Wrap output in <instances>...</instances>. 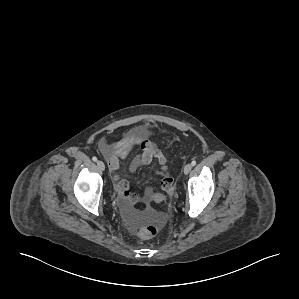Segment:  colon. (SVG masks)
Masks as SVG:
<instances>
[{
    "label": "colon",
    "instance_id": "1",
    "mask_svg": "<svg viewBox=\"0 0 299 299\" xmlns=\"http://www.w3.org/2000/svg\"><path fill=\"white\" fill-rule=\"evenodd\" d=\"M169 186L167 185V188ZM167 191V190H165ZM164 198L163 194H157L155 196L156 201H161ZM160 227L157 224H149L143 228H141L138 232L139 236L143 239H149L158 234Z\"/></svg>",
    "mask_w": 299,
    "mask_h": 299
}]
</instances>
